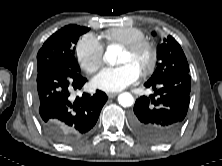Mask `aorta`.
<instances>
[{"instance_id": "aorta-1", "label": "aorta", "mask_w": 222, "mask_h": 166, "mask_svg": "<svg viewBox=\"0 0 222 166\" xmlns=\"http://www.w3.org/2000/svg\"><path fill=\"white\" fill-rule=\"evenodd\" d=\"M119 52L116 46L108 47L104 54V60L111 65L116 64ZM118 102L123 107H130L134 103V98L129 92H124L118 96Z\"/></svg>"}]
</instances>
